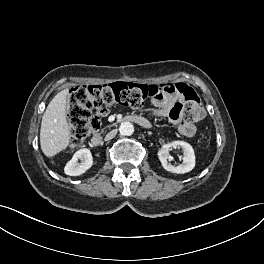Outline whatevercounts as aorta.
Instances as JSON below:
<instances>
[{"label":"aorta","mask_w":264,"mask_h":264,"mask_svg":"<svg viewBox=\"0 0 264 264\" xmlns=\"http://www.w3.org/2000/svg\"><path fill=\"white\" fill-rule=\"evenodd\" d=\"M119 131L124 136H131L134 133V126L130 122H123L119 127Z\"/></svg>","instance_id":"762f6f07"}]
</instances>
